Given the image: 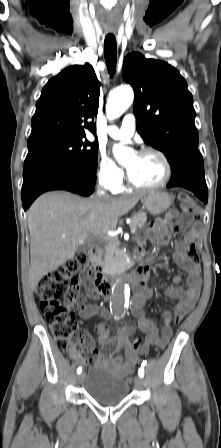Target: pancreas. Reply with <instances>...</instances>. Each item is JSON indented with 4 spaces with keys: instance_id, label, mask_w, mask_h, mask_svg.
Segmentation results:
<instances>
[{
    "instance_id": "pancreas-1",
    "label": "pancreas",
    "mask_w": 221,
    "mask_h": 448,
    "mask_svg": "<svg viewBox=\"0 0 221 448\" xmlns=\"http://www.w3.org/2000/svg\"><path fill=\"white\" fill-rule=\"evenodd\" d=\"M147 220L145 213L137 214L131 217L130 226L143 228ZM101 265L106 272L118 271L124 263L123 252L119 248V240L116 238L109 239L101 252L99 253Z\"/></svg>"
}]
</instances>
